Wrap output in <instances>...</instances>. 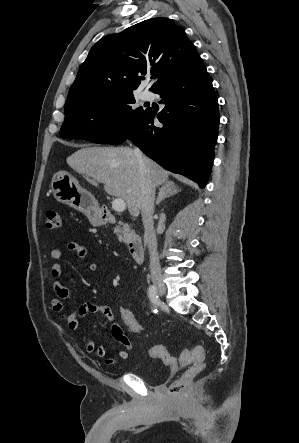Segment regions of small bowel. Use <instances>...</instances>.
Masks as SVG:
<instances>
[{
  "mask_svg": "<svg viewBox=\"0 0 299 443\" xmlns=\"http://www.w3.org/2000/svg\"><path fill=\"white\" fill-rule=\"evenodd\" d=\"M67 248L76 253V255L81 260H86L88 251L87 249L76 241H70L67 243ZM62 251L60 248H54L50 251V257L55 262L52 265L51 272L55 281L53 283V289L55 291L56 297L51 299L50 304L52 309L59 313L61 318L66 321L67 326L70 330L78 331L80 330V320L89 313H101L109 322L110 332L112 337L125 349H119L115 352L113 356H107L106 349L103 346H96L95 343L89 338L81 335L82 345L87 353H93L97 357L104 359L107 364H116L118 362L124 361L128 358V350L132 348V343L130 339L125 335L122 328L115 321V314L113 310L105 305H100L92 302L84 303L80 306L79 310L72 312H65L64 301L72 300L75 301L78 298L73 295L68 288H66L62 282L61 277L63 275V267L58 262L61 259ZM87 269L89 272L97 271V264L95 262H88Z\"/></svg>",
  "mask_w": 299,
  "mask_h": 443,
  "instance_id": "obj_1",
  "label": "small bowel"
}]
</instances>
